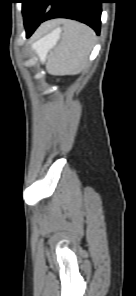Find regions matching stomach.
I'll return each instance as SVG.
<instances>
[{
	"mask_svg": "<svg viewBox=\"0 0 136 296\" xmlns=\"http://www.w3.org/2000/svg\"><path fill=\"white\" fill-rule=\"evenodd\" d=\"M51 33L44 36L43 38H41L40 40H38L37 42H35L33 44V48L37 45H42L44 47V51L45 53L48 52V50L55 44L54 39H49ZM49 39V40H48Z\"/></svg>",
	"mask_w": 136,
	"mask_h": 296,
	"instance_id": "1",
	"label": "stomach"
}]
</instances>
